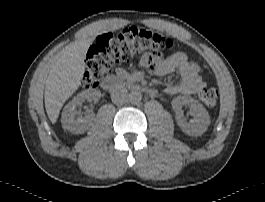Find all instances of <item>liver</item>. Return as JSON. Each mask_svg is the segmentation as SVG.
Returning a JSON list of instances; mask_svg holds the SVG:
<instances>
[{
  "mask_svg": "<svg viewBox=\"0 0 265 202\" xmlns=\"http://www.w3.org/2000/svg\"><path fill=\"white\" fill-rule=\"evenodd\" d=\"M92 39L67 45L52 64L45 85V109L55 124L60 110L70 96L80 87L85 72V58Z\"/></svg>",
  "mask_w": 265,
  "mask_h": 202,
  "instance_id": "liver-1",
  "label": "liver"
}]
</instances>
